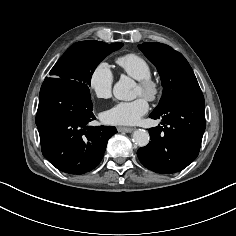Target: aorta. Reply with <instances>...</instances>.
<instances>
[{
	"mask_svg": "<svg viewBox=\"0 0 236 236\" xmlns=\"http://www.w3.org/2000/svg\"><path fill=\"white\" fill-rule=\"evenodd\" d=\"M135 82L129 77H121L113 87V94L116 99L123 101H131L136 98L134 92ZM149 133L146 130L138 129L133 132V141L140 147H144L149 143Z\"/></svg>",
	"mask_w": 236,
	"mask_h": 236,
	"instance_id": "aorta-1",
	"label": "aorta"
}]
</instances>
